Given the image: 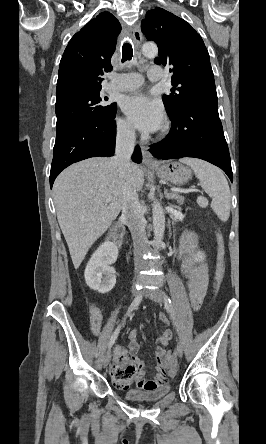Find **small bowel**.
<instances>
[{
  "instance_id": "small-bowel-1",
  "label": "small bowel",
  "mask_w": 266,
  "mask_h": 444,
  "mask_svg": "<svg viewBox=\"0 0 266 444\" xmlns=\"http://www.w3.org/2000/svg\"><path fill=\"white\" fill-rule=\"evenodd\" d=\"M197 249L198 239L196 235L191 232L183 234L179 245V261L182 274L187 278L189 298L194 309L201 305L208 285L205 265L191 266L189 263V257L194 255ZM159 319L163 324L168 323L167 317L163 313L159 315ZM102 322V310L97 304H93L90 309V325L95 335L100 333ZM137 338L138 332L133 330L129 335L128 348H117L115 350L114 363L111 367L114 386L118 389H127L135 382L137 387L147 390L166 385V372L168 371L171 375L175 373V371L170 370L166 357V346L172 338L171 331L165 329L158 339V346L155 351L157 359L156 374L151 379L144 377V362L137 355L139 350Z\"/></svg>"
}]
</instances>
